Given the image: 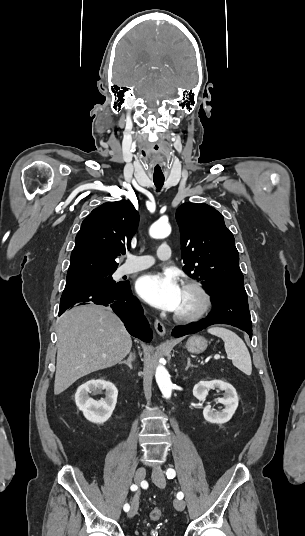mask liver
Here are the masks:
<instances>
[{
  "label": "liver",
  "mask_w": 305,
  "mask_h": 536,
  "mask_svg": "<svg viewBox=\"0 0 305 536\" xmlns=\"http://www.w3.org/2000/svg\"><path fill=\"white\" fill-rule=\"evenodd\" d=\"M54 394L76 380L119 364L132 348L124 324L104 306H77L63 314L58 328Z\"/></svg>",
  "instance_id": "obj_1"
}]
</instances>
